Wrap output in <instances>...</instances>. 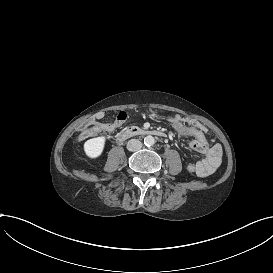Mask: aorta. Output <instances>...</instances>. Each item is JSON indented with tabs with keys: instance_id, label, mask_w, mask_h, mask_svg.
<instances>
[{
	"instance_id": "1",
	"label": "aorta",
	"mask_w": 273,
	"mask_h": 273,
	"mask_svg": "<svg viewBox=\"0 0 273 273\" xmlns=\"http://www.w3.org/2000/svg\"><path fill=\"white\" fill-rule=\"evenodd\" d=\"M154 143H155V139H154L153 136L148 135V136H146V137L144 138V144H145L146 146H152V145H154Z\"/></svg>"
}]
</instances>
